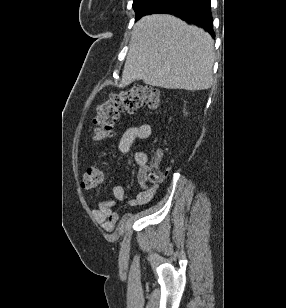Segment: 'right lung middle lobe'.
Wrapping results in <instances>:
<instances>
[{"label": "right lung middle lobe", "instance_id": "right-lung-middle-lobe-1", "mask_svg": "<svg viewBox=\"0 0 286 308\" xmlns=\"http://www.w3.org/2000/svg\"><path fill=\"white\" fill-rule=\"evenodd\" d=\"M169 1L170 0H134L133 8L136 12V20L144 15L152 13Z\"/></svg>", "mask_w": 286, "mask_h": 308}]
</instances>
